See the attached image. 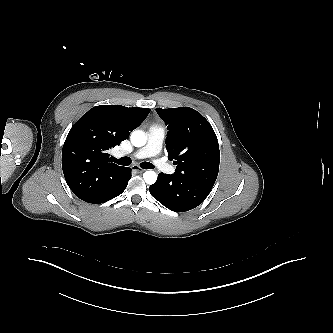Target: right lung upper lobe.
Returning a JSON list of instances; mask_svg holds the SVG:
<instances>
[{
    "instance_id": "right-lung-upper-lobe-1",
    "label": "right lung upper lobe",
    "mask_w": 333,
    "mask_h": 333,
    "mask_svg": "<svg viewBox=\"0 0 333 333\" xmlns=\"http://www.w3.org/2000/svg\"><path fill=\"white\" fill-rule=\"evenodd\" d=\"M150 109L101 105L90 109L71 128L62 150V169L70 189L90 202L120 180L125 167L111 163L108 150L127 139Z\"/></svg>"
}]
</instances>
